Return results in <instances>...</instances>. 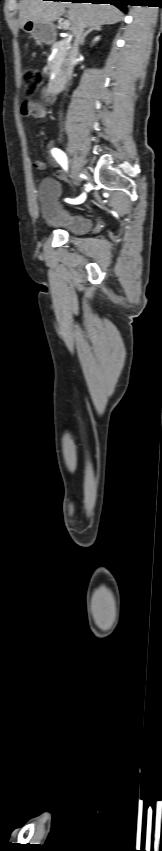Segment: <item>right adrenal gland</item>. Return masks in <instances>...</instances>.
<instances>
[{"label": "right adrenal gland", "instance_id": "2a0ac1e0", "mask_svg": "<svg viewBox=\"0 0 162 851\" xmlns=\"http://www.w3.org/2000/svg\"><path fill=\"white\" fill-rule=\"evenodd\" d=\"M100 30H101V26H95V27H91V28H89V29H88V30L84 33V35H83V37H82L81 45H84L85 38H86V36H87L89 33H91L92 31H100Z\"/></svg>", "mask_w": 162, "mask_h": 851}]
</instances>
